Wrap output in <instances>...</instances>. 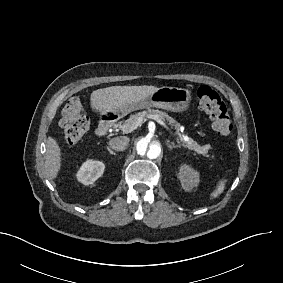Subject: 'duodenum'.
Masks as SVG:
<instances>
[{"mask_svg": "<svg viewBox=\"0 0 283 283\" xmlns=\"http://www.w3.org/2000/svg\"><path fill=\"white\" fill-rule=\"evenodd\" d=\"M113 124V117L110 115L104 116L100 121L96 134L100 137L105 136Z\"/></svg>", "mask_w": 283, "mask_h": 283, "instance_id": "duodenum-1", "label": "duodenum"}]
</instances>
